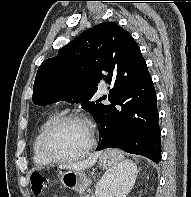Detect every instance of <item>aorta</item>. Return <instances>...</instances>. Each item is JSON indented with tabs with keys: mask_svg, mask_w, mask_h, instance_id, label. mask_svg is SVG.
<instances>
[{
	"mask_svg": "<svg viewBox=\"0 0 191 197\" xmlns=\"http://www.w3.org/2000/svg\"><path fill=\"white\" fill-rule=\"evenodd\" d=\"M106 188H107V181L106 178L104 177L99 184V189L101 190L102 193H104L106 191Z\"/></svg>",
	"mask_w": 191,
	"mask_h": 197,
	"instance_id": "aorta-1",
	"label": "aorta"
}]
</instances>
